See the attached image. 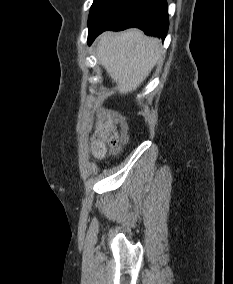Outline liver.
Here are the masks:
<instances>
[{"label":"liver","mask_w":233,"mask_h":284,"mask_svg":"<svg viewBox=\"0 0 233 284\" xmlns=\"http://www.w3.org/2000/svg\"><path fill=\"white\" fill-rule=\"evenodd\" d=\"M161 55L159 39L138 29L105 32L98 40L96 56L121 94L132 92L147 78Z\"/></svg>","instance_id":"obj_1"}]
</instances>
